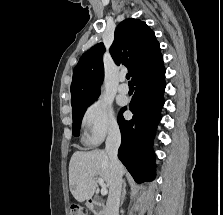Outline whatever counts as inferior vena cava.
<instances>
[{
  "instance_id": "obj_1",
  "label": "inferior vena cava",
  "mask_w": 223,
  "mask_h": 215,
  "mask_svg": "<svg viewBox=\"0 0 223 215\" xmlns=\"http://www.w3.org/2000/svg\"><path fill=\"white\" fill-rule=\"evenodd\" d=\"M121 143V133L118 127H112L106 139V151L110 159L112 185L106 201L105 215H119V201L122 185V165L117 157L118 147Z\"/></svg>"
}]
</instances>
